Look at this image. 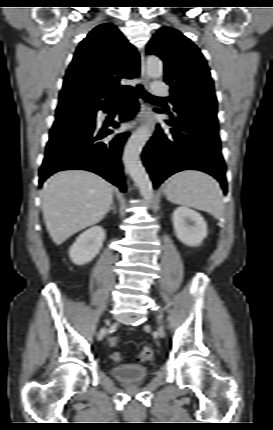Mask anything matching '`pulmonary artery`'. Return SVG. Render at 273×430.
<instances>
[{"label":"pulmonary artery","mask_w":273,"mask_h":430,"mask_svg":"<svg viewBox=\"0 0 273 430\" xmlns=\"http://www.w3.org/2000/svg\"><path fill=\"white\" fill-rule=\"evenodd\" d=\"M155 94L158 96H167L169 94L168 88L162 82H156Z\"/></svg>","instance_id":"pulmonary-artery-1"}]
</instances>
